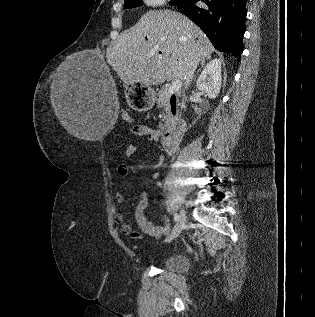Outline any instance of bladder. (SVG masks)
Instances as JSON below:
<instances>
[{
  "instance_id": "1",
  "label": "bladder",
  "mask_w": 315,
  "mask_h": 317,
  "mask_svg": "<svg viewBox=\"0 0 315 317\" xmlns=\"http://www.w3.org/2000/svg\"><path fill=\"white\" fill-rule=\"evenodd\" d=\"M162 267L174 272H184L188 269L189 262L184 255L173 254L163 260Z\"/></svg>"
}]
</instances>
